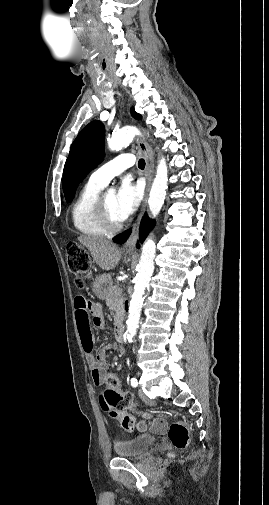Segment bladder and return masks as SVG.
Masks as SVG:
<instances>
[{
	"mask_svg": "<svg viewBox=\"0 0 269 505\" xmlns=\"http://www.w3.org/2000/svg\"><path fill=\"white\" fill-rule=\"evenodd\" d=\"M156 443V437L149 434H140L133 438L117 441L113 445L115 455L122 458H139Z\"/></svg>",
	"mask_w": 269,
	"mask_h": 505,
	"instance_id": "31cf9c89",
	"label": "bladder"
}]
</instances>
